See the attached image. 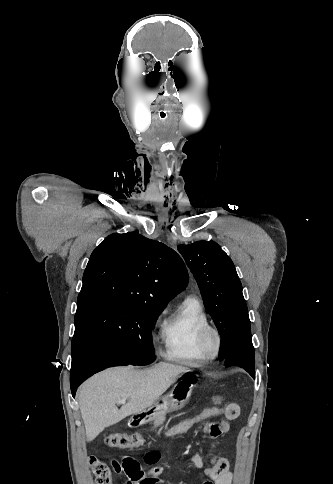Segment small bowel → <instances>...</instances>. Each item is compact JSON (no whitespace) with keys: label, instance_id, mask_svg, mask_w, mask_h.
<instances>
[{"label":"small bowel","instance_id":"1","mask_svg":"<svg viewBox=\"0 0 333 484\" xmlns=\"http://www.w3.org/2000/svg\"><path fill=\"white\" fill-rule=\"evenodd\" d=\"M213 401L220 408L221 419L215 423H209L205 431L212 439H217L229 431L227 419H235L239 415V406L233 402H224L221 398L215 397ZM189 460L199 469L204 477L202 484H231L233 474L229 469V462L226 458L215 455L211 464L204 465L202 458L198 454H193ZM111 466L117 474L125 475L128 478L126 484H157L161 483L159 475L162 472L161 466H156L152 470L145 472L142 470L138 461L132 457H125L122 461L113 460Z\"/></svg>","mask_w":333,"mask_h":484}]
</instances>
